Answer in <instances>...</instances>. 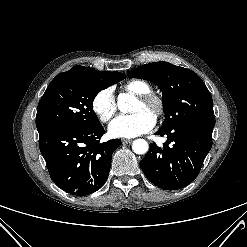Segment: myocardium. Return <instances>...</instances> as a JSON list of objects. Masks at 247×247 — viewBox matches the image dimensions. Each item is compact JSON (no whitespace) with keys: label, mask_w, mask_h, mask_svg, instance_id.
Listing matches in <instances>:
<instances>
[{"label":"myocardium","mask_w":247,"mask_h":247,"mask_svg":"<svg viewBox=\"0 0 247 247\" xmlns=\"http://www.w3.org/2000/svg\"><path fill=\"white\" fill-rule=\"evenodd\" d=\"M137 100L145 106L152 107L155 118H159L164 114L165 102L161 96L153 92H148L138 95Z\"/></svg>","instance_id":"1"}]
</instances>
